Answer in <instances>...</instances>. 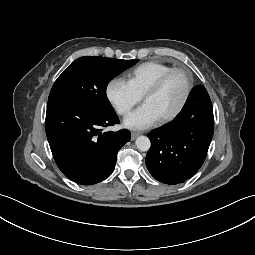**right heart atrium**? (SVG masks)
<instances>
[{"label":"right heart atrium","mask_w":255,"mask_h":255,"mask_svg":"<svg viewBox=\"0 0 255 255\" xmlns=\"http://www.w3.org/2000/svg\"><path fill=\"white\" fill-rule=\"evenodd\" d=\"M105 95L116 112L122 116L128 114L142 99V95L128 81L118 77L109 80L105 88Z\"/></svg>","instance_id":"1"}]
</instances>
